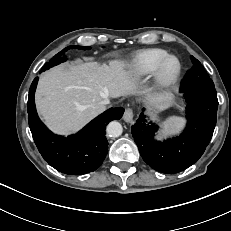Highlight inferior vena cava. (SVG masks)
Returning <instances> with one entry per match:
<instances>
[{"label": "inferior vena cava", "instance_id": "inferior-vena-cava-1", "mask_svg": "<svg viewBox=\"0 0 231 231\" xmlns=\"http://www.w3.org/2000/svg\"><path fill=\"white\" fill-rule=\"evenodd\" d=\"M109 103H110V100L108 98H106V99L101 100L100 106H101L102 109H104L105 105H107Z\"/></svg>", "mask_w": 231, "mask_h": 231}]
</instances>
